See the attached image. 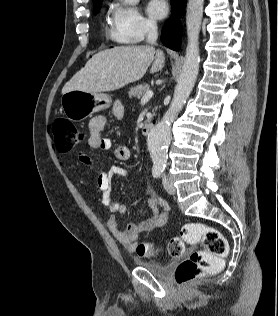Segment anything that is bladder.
I'll use <instances>...</instances> for the list:
<instances>
[{
    "instance_id": "bladder-1",
    "label": "bladder",
    "mask_w": 278,
    "mask_h": 316,
    "mask_svg": "<svg viewBox=\"0 0 278 316\" xmlns=\"http://www.w3.org/2000/svg\"><path fill=\"white\" fill-rule=\"evenodd\" d=\"M135 263L156 277L165 278L170 275L173 269V264H161L152 261L135 260Z\"/></svg>"
}]
</instances>
